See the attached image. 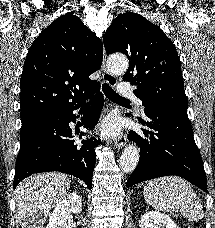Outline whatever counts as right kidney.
Returning <instances> with one entry per match:
<instances>
[{
    "label": "right kidney",
    "mask_w": 215,
    "mask_h": 228,
    "mask_svg": "<svg viewBox=\"0 0 215 228\" xmlns=\"http://www.w3.org/2000/svg\"><path fill=\"white\" fill-rule=\"evenodd\" d=\"M69 212L72 214L82 212L81 198L75 192L68 194L64 200H59L49 218L47 228H70L67 216Z\"/></svg>",
    "instance_id": "ca27d5eb"
}]
</instances>
